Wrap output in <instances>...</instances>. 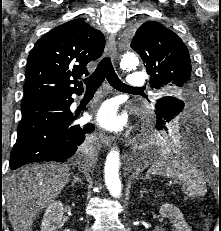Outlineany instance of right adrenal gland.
Returning <instances> with one entry per match:
<instances>
[{
    "label": "right adrenal gland",
    "instance_id": "2a0ac1e0",
    "mask_svg": "<svg viewBox=\"0 0 221 231\" xmlns=\"http://www.w3.org/2000/svg\"><path fill=\"white\" fill-rule=\"evenodd\" d=\"M72 187H74V185L76 184V183H80L81 185L83 184V182H82V180H81V178L78 176V175H74L73 173H72Z\"/></svg>",
    "mask_w": 221,
    "mask_h": 231
}]
</instances>
